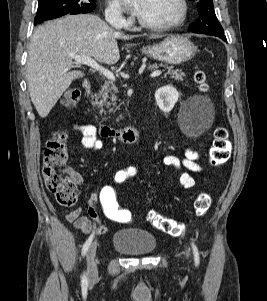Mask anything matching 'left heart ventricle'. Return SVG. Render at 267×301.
<instances>
[{"label":"left heart ventricle","mask_w":267,"mask_h":301,"mask_svg":"<svg viewBox=\"0 0 267 301\" xmlns=\"http://www.w3.org/2000/svg\"><path fill=\"white\" fill-rule=\"evenodd\" d=\"M179 11L178 0H145L139 16L149 23L164 24L175 20Z\"/></svg>","instance_id":"left-heart-ventricle-1"}]
</instances>
